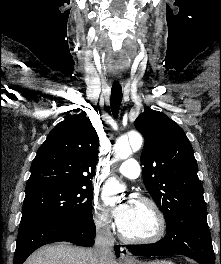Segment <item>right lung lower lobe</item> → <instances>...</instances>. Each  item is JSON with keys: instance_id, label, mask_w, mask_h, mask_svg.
Segmentation results:
<instances>
[{"instance_id": "98d812e1", "label": "right lung lower lobe", "mask_w": 221, "mask_h": 264, "mask_svg": "<svg viewBox=\"0 0 221 264\" xmlns=\"http://www.w3.org/2000/svg\"><path fill=\"white\" fill-rule=\"evenodd\" d=\"M96 228L93 217L85 221H26L21 222L18 232L14 264H23L37 248L59 241H67L80 246L94 244ZM117 257L120 246L115 247Z\"/></svg>"}]
</instances>
